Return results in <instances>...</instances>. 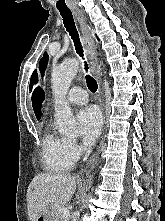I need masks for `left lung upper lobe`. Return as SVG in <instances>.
<instances>
[{
  "mask_svg": "<svg viewBox=\"0 0 165 221\" xmlns=\"http://www.w3.org/2000/svg\"><path fill=\"white\" fill-rule=\"evenodd\" d=\"M47 61H48V55L47 53H44L43 58L40 60V63H39L41 75L44 74ZM43 100H44L43 91L41 88H37L34 91L33 96H32V105H33V109H34L37 119L41 118V106H42Z\"/></svg>",
  "mask_w": 165,
  "mask_h": 221,
  "instance_id": "left-lung-upper-lobe-1",
  "label": "left lung upper lobe"
}]
</instances>
